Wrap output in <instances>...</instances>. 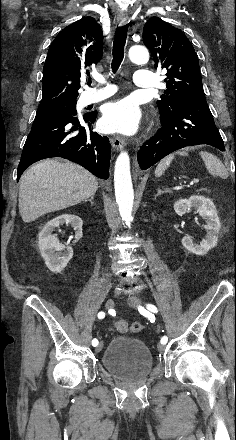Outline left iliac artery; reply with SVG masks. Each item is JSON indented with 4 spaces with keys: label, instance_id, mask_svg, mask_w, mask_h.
<instances>
[{
    "label": "left iliac artery",
    "instance_id": "left-iliac-artery-1",
    "mask_svg": "<svg viewBox=\"0 0 236 440\" xmlns=\"http://www.w3.org/2000/svg\"><path fill=\"white\" fill-rule=\"evenodd\" d=\"M146 308H147L148 310H150L151 312H154V313H157V312H158L157 307H156L155 305H153V304H146ZM138 309H139V311H140L142 314H147V312H146V310H145L144 308L139 307ZM167 341H168L167 336H163V337L161 338V343H162V344H166Z\"/></svg>",
    "mask_w": 236,
    "mask_h": 440
}]
</instances>
